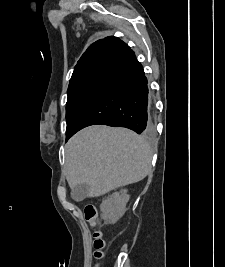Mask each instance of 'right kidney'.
<instances>
[{"mask_svg":"<svg viewBox=\"0 0 225 267\" xmlns=\"http://www.w3.org/2000/svg\"><path fill=\"white\" fill-rule=\"evenodd\" d=\"M129 201L127 190H121L108 196L101 204L103 219L114 224L126 211V204Z\"/></svg>","mask_w":225,"mask_h":267,"instance_id":"ca27d5eb","label":"right kidney"}]
</instances>
